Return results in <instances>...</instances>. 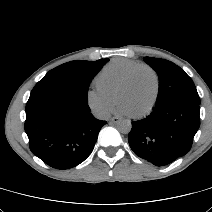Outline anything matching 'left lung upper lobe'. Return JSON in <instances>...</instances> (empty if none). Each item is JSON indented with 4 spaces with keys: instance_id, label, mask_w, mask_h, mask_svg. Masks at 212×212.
I'll list each match as a JSON object with an SVG mask.
<instances>
[{
    "instance_id": "1",
    "label": "left lung upper lobe",
    "mask_w": 212,
    "mask_h": 212,
    "mask_svg": "<svg viewBox=\"0 0 212 212\" xmlns=\"http://www.w3.org/2000/svg\"><path fill=\"white\" fill-rule=\"evenodd\" d=\"M144 61L159 76L157 105H162L173 100H186L200 105L196 87L183 69L165 59L145 57Z\"/></svg>"
}]
</instances>
